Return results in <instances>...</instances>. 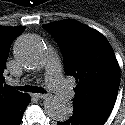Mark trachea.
<instances>
[{
  "label": "trachea",
  "mask_w": 125,
  "mask_h": 125,
  "mask_svg": "<svg viewBox=\"0 0 125 125\" xmlns=\"http://www.w3.org/2000/svg\"><path fill=\"white\" fill-rule=\"evenodd\" d=\"M17 89L25 92L45 93V90L42 87H37V86L25 85V86L17 87Z\"/></svg>",
  "instance_id": "obj_1"
}]
</instances>
